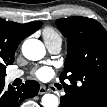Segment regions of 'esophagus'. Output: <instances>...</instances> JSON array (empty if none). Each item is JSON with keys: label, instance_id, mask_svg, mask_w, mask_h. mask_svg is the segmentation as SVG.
<instances>
[{"label": "esophagus", "instance_id": "34e87169", "mask_svg": "<svg viewBox=\"0 0 107 107\" xmlns=\"http://www.w3.org/2000/svg\"><path fill=\"white\" fill-rule=\"evenodd\" d=\"M46 92H47L46 87L41 86L38 93H39V95H43V94H45Z\"/></svg>", "mask_w": 107, "mask_h": 107}]
</instances>
